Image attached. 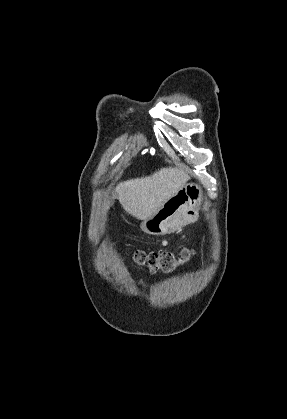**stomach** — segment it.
<instances>
[{"instance_id": "1", "label": "stomach", "mask_w": 287, "mask_h": 419, "mask_svg": "<svg viewBox=\"0 0 287 419\" xmlns=\"http://www.w3.org/2000/svg\"><path fill=\"white\" fill-rule=\"evenodd\" d=\"M203 198V191L199 185L185 184L153 216L143 220L140 228L151 235L174 232L187 221L197 217L198 206Z\"/></svg>"}]
</instances>
